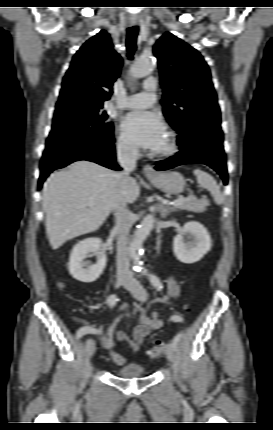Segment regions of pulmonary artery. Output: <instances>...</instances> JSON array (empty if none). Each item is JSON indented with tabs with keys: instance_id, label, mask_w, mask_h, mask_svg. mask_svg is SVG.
<instances>
[{
	"instance_id": "obj_1",
	"label": "pulmonary artery",
	"mask_w": 273,
	"mask_h": 430,
	"mask_svg": "<svg viewBox=\"0 0 273 430\" xmlns=\"http://www.w3.org/2000/svg\"><path fill=\"white\" fill-rule=\"evenodd\" d=\"M144 90L140 93L134 94L128 97L121 107L123 108H135V109H145L151 107L156 102V91L157 83L154 78H148L144 82Z\"/></svg>"
}]
</instances>
